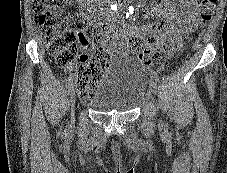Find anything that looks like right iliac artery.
<instances>
[{
	"label": "right iliac artery",
	"instance_id": "1",
	"mask_svg": "<svg viewBox=\"0 0 227 173\" xmlns=\"http://www.w3.org/2000/svg\"><path fill=\"white\" fill-rule=\"evenodd\" d=\"M65 87L68 92L71 91V89L73 87V78L71 76L66 80Z\"/></svg>",
	"mask_w": 227,
	"mask_h": 173
}]
</instances>
